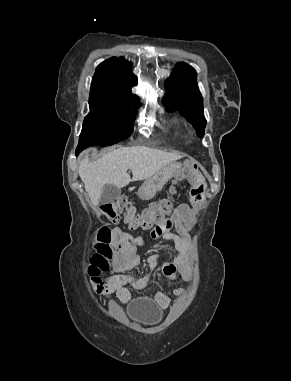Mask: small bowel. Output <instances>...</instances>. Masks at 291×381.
Returning <instances> with one entry per match:
<instances>
[{
  "label": "small bowel",
  "mask_w": 291,
  "mask_h": 381,
  "mask_svg": "<svg viewBox=\"0 0 291 381\" xmlns=\"http://www.w3.org/2000/svg\"><path fill=\"white\" fill-rule=\"evenodd\" d=\"M193 216V208L186 204L176 207L170 217L160 226L151 232L152 239H161L172 242L178 254L171 261L162 262L160 256L154 255L148 259V265L153 269H160L167 277V284H171L179 275L183 281L187 282L192 276L193 257L191 254V240L188 234V227ZM174 228V231L172 230ZM146 243L143 237H135L131 240L129 246L121 250L123 266L129 270L140 263V257L134 252V247L142 246ZM148 279H137L128 274H114L103 280L101 277L91 278V285L96 294L102 297H108L116 293L118 299L126 303L131 295L128 286L138 289L148 285ZM184 293L182 287L174 289V294L181 296ZM155 301L160 308H167L170 302L169 296L158 291L155 295Z\"/></svg>",
  "instance_id": "obj_1"
}]
</instances>
